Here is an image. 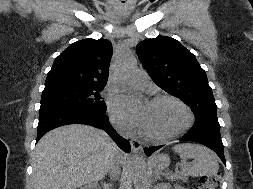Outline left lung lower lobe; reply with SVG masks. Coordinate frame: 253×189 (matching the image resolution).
Instances as JSON below:
<instances>
[{
    "label": "left lung lower lobe",
    "mask_w": 253,
    "mask_h": 189,
    "mask_svg": "<svg viewBox=\"0 0 253 189\" xmlns=\"http://www.w3.org/2000/svg\"><path fill=\"white\" fill-rule=\"evenodd\" d=\"M180 140L193 141L206 145L214 150L222 162L226 165L219 124L207 122L195 123ZM161 147L162 146H152L145 148L144 151L145 154L149 156L152 152L160 149Z\"/></svg>",
    "instance_id": "1"
}]
</instances>
